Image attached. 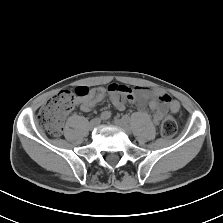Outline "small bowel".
I'll return each mask as SVG.
<instances>
[{"label": "small bowel", "mask_w": 223, "mask_h": 223, "mask_svg": "<svg viewBox=\"0 0 223 223\" xmlns=\"http://www.w3.org/2000/svg\"><path fill=\"white\" fill-rule=\"evenodd\" d=\"M109 98L115 109L121 111L125 108V101L137 103L140 106L148 102V107L154 112L153 121L159 124L163 116L168 112H178L179 103L167 93L146 87L130 88L123 84L112 83L108 88H94L88 96L80 98L76 104L84 112L93 110L96 104Z\"/></svg>", "instance_id": "c3829d8e"}]
</instances>
